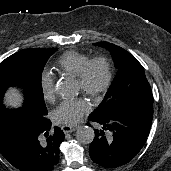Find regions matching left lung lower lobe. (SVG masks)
<instances>
[{
	"instance_id": "0a47b994",
	"label": "left lung lower lobe",
	"mask_w": 171,
	"mask_h": 171,
	"mask_svg": "<svg viewBox=\"0 0 171 171\" xmlns=\"http://www.w3.org/2000/svg\"><path fill=\"white\" fill-rule=\"evenodd\" d=\"M89 120L103 125V130H95L89 154L95 163L106 168L127 164L145 144L152 123V117L142 114L89 116ZM104 130L110 134L105 135Z\"/></svg>"
}]
</instances>
